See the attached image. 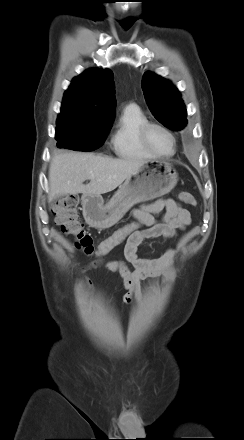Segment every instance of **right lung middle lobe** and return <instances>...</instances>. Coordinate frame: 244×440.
<instances>
[{
	"label": "right lung middle lobe",
	"mask_w": 244,
	"mask_h": 440,
	"mask_svg": "<svg viewBox=\"0 0 244 440\" xmlns=\"http://www.w3.org/2000/svg\"><path fill=\"white\" fill-rule=\"evenodd\" d=\"M111 125L74 119L57 122V146L76 151L95 150L104 143Z\"/></svg>",
	"instance_id": "dd1d6c3e"
}]
</instances>
